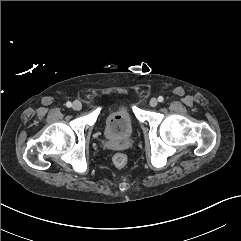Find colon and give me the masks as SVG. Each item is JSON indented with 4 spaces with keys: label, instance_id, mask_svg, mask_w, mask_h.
<instances>
[{
    "label": "colon",
    "instance_id": "1",
    "mask_svg": "<svg viewBox=\"0 0 241 241\" xmlns=\"http://www.w3.org/2000/svg\"><path fill=\"white\" fill-rule=\"evenodd\" d=\"M128 158L124 153H117L113 157V163L116 167H124L127 164Z\"/></svg>",
    "mask_w": 241,
    "mask_h": 241
}]
</instances>
